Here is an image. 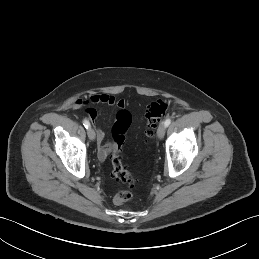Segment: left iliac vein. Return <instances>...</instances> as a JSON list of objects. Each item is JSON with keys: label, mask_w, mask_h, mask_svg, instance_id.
Instances as JSON below:
<instances>
[{"label": "left iliac vein", "mask_w": 259, "mask_h": 259, "mask_svg": "<svg viewBox=\"0 0 259 259\" xmlns=\"http://www.w3.org/2000/svg\"><path fill=\"white\" fill-rule=\"evenodd\" d=\"M165 132H166V126H165V124L162 123L159 125L158 130H157L158 138L162 139L165 135Z\"/></svg>", "instance_id": "left-iliac-vein-1"}]
</instances>
